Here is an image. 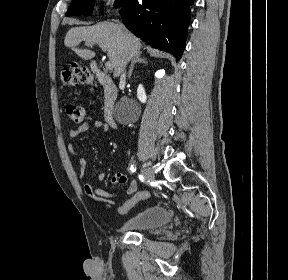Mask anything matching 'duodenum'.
Returning <instances> with one entry per match:
<instances>
[{
    "label": "duodenum",
    "mask_w": 288,
    "mask_h": 280,
    "mask_svg": "<svg viewBox=\"0 0 288 280\" xmlns=\"http://www.w3.org/2000/svg\"><path fill=\"white\" fill-rule=\"evenodd\" d=\"M92 69L93 72L96 74L99 83L104 88L103 111L105 120L111 127H116V120L114 117V106L118 96V89L113 80L108 75L100 71L96 66V64L92 65Z\"/></svg>",
    "instance_id": "410a0bca"
}]
</instances>
